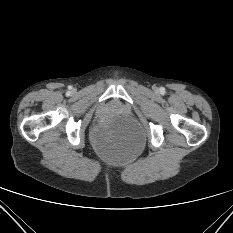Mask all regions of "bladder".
Returning a JSON list of instances; mask_svg holds the SVG:
<instances>
[{
  "label": "bladder",
  "instance_id": "31cf9c89",
  "mask_svg": "<svg viewBox=\"0 0 233 233\" xmlns=\"http://www.w3.org/2000/svg\"><path fill=\"white\" fill-rule=\"evenodd\" d=\"M98 145L100 147H103L106 151L109 149L108 146H106L103 142H101L100 140L97 141Z\"/></svg>",
  "mask_w": 233,
  "mask_h": 233
}]
</instances>
